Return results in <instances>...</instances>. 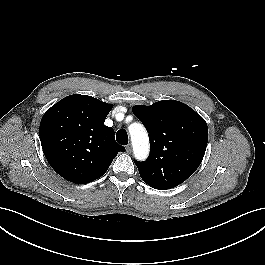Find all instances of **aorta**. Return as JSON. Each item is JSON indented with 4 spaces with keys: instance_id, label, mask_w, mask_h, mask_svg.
Here are the masks:
<instances>
[{
    "instance_id": "obj_1",
    "label": "aorta",
    "mask_w": 265,
    "mask_h": 265,
    "mask_svg": "<svg viewBox=\"0 0 265 265\" xmlns=\"http://www.w3.org/2000/svg\"><path fill=\"white\" fill-rule=\"evenodd\" d=\"M134 155L139 160H144L149 154V138L146 129L139 123L129 127Z\"/></svg>"
}]
</instances>
